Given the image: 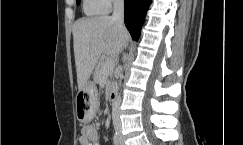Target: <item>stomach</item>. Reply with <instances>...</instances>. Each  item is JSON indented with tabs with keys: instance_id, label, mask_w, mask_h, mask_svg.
<instances>
[{
	"instance_id": "obj_1",
	"label": "stomach",
	"mask_w": 243,
	"mask_h": 145,
	"mask_svg": "<svg viewBox=\"0 0 243 145\" xmlns=\"http://www.w3.org/2000/svg\"><path fill=\"white\" fill-rule=\"evenodd\" d=\"M92 86L85 85L76 96V116L81 122H88L94 116L96 103H98V94H93Z\"/></svg>"
}]
</instances>
